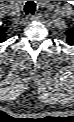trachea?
<instances>
[{
    "instance_id": "trachea-1",
    "label": "trachea",
    "mask_w": 74,
    "mask_h": 122,
    "mask_svg": "<svg viewBox=\"0 0 74 122\" xmlns=\"http://www.w3.org/2000/svg\"><path fill=\"white\" fill-rule=\"evenodd\" d=\"M36 11V4L34 1H27L24 5V12L26 15H34Z\"/></svg>"
}]
</instances>
